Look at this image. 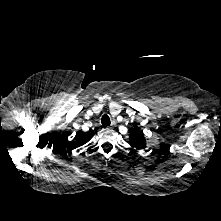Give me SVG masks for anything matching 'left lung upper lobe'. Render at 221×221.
<instances>
[{
  "instance_id": "obj_1",
  "label": "left lung upper lobe",
  "mask_w": 221,
  "mask_h": 221,
  "mask_svg": "<svg viewBox=\"0 0 221 221\" xmlns=\"http://www.w3.org/2000/svg\"><path fill=\"white\" fill-rule=\"evenodd\" d=\"M130 145L136 149H143L146 147V140L142 131L135 127L129 136Z\"/></svg>"
}]
</instances>
